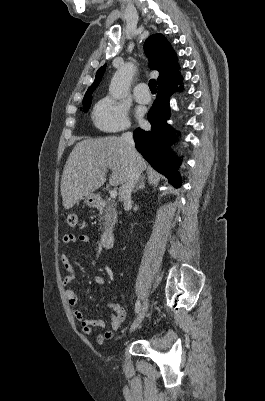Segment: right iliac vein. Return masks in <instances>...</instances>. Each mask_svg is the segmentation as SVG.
<instances>
[{"label":"right iliac vein","instance_id":"obj_1","mask_svg":"<svg viewBox=\"0 0 265 401\" xmlns=\"http://www.w3.org/2000/svg\"><path fill=\"white\" fill-rule=\"evenodd\" d=\"M149 308V299H145L141 309L139 310V313L137 315V318L135 319L134 323L132 324L130 331L133 332L134 330H136L139 325L141 324V322L143 321L146 312L148 311Z\"/></svg>","mask_w":265,"mask_h":401}]
</instances>
